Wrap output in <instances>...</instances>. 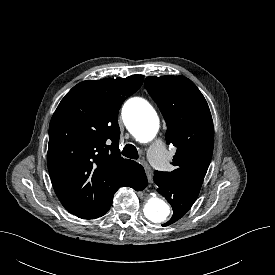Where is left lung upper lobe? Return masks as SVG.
I'll list each match as a JSON object with an SVG mask.
<instances>
[{"instance_id": "obj_1", "label": "left lung upper lobe", "mask_w": 275, "mask_h": 275, "mask_svg": "<svg viewBox=\"0 0 275 275\" xmlns=\"http://www.w3.org/2000/svg\"><path fill=\"white\" fill-rule=\"evenodd\" d=\"M149 94L160 108L167 124L166 141L177 147L170 180L201 188L209 167L214 144V128L208 104L188 78L147 77Z\"/></svg>"}]
</instances>
